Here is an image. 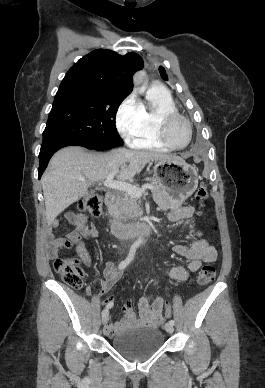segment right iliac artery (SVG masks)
Wrapping results in <instances>:
<instances>
[{
    "instance_id": "1",
    "label": "right iliac artery",
    "mask_w": 265,
    "mask_h": 388,
    "mask_svg": "<svg viewBox=\"0 0 265 388\" xmlns=\"http://www.w3.org/2000/svg\"><path fill=\"white\" fill-rule=\"evenodd\" d=\"M136 248H137V245L135 244L131 246L128 256L126 257L125 260L121 261L118 266L120 270L125 269L128 266V264L134 259ZM112 306H113L112 304H108L106 305V308L109 309Z\"/></svg>"
}]
</instances>
